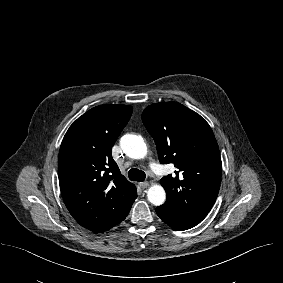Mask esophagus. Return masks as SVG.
Instances as JSON below:
<instances>
[{
  "instance_id": "obj_1",
  "label": "esophagus",
  "mask_w": 283,
  "mask_h": 283,
  "mask_svg": "<svg viewBox=\"0 0 283 283\" xmlns=\"http://www.w3.org/2000/svg\"><path fill=\"white\" fill-rule=\"evenodd\" d=\"M139 186L141 187V189H146V188H148L149 183H148V182H141V183L139 184Z\"/></svg>"
}]
</instances>
